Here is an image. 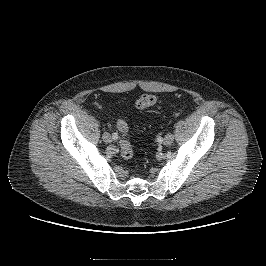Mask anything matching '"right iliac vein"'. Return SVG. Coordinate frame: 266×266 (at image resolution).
I'll return each mask as SVG.
<instances>
[{"mask_svg":"<svg viewBox=\"0 0 266 266\" xmlns=\"http://www.w3.org/2000/svg\"><path fill=\"white\" fill-rule=\"evenodd\" d=\"M103 140H104L106 143H110V142H111V136H110V134H108V133H104V134H103Z\"/></svg>","mask_w":266,"mask_h":266,"instance_id":"right-iliac-vein-1","label":"right iliac vein"}]
</instances>
